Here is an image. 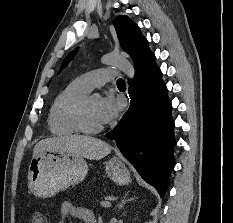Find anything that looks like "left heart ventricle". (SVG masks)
<instances>
[{"label": "left heart ventricle", "instance_id": "b2bd125f", "mask_svg": "<svg viewBox=\"0 0 233 223\" xmlns=\"http://www.w3.org/2000/svg\"><path fill=\"white\" fill-rule=\"evenodd\" d=\"M98 103H99V99L96 97H91L88 102L87 111H86V121L90 127H97V126L102 125L99 122V119L97 116Z\"/></svg>", "mask_w": 233, "mask_h": 223}]
</instances>
